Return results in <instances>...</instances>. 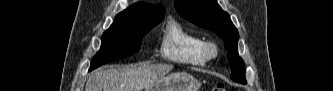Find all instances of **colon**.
Here are the masks:
<instances>
[{"label":"colon","instance_id":"colon-1","mask_svg":"<svg viewBox=\"0 0 333 91\" xmlns=\"http://www.w3.org/2000/svg\"><path fill=\"white\" fill-rule=\"evenodd\" d=\"M225 90H226L225 86L222 83L215 84L211 89V91H225Z\"/></svg>","mask_w":333,"mask_h":91}]
</instances>
